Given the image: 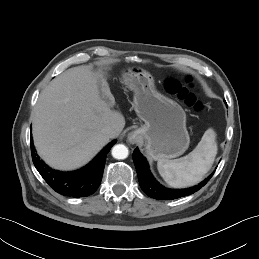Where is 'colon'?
Segmentation results:
<instances>
[{"label":"colon","instance_id":"obj_1","mask_svg":"<svg viewBox=\"0 0 259 259\" xmlns=\"http://www.w3.org/2000/svg\"><path fill=\"white\" fill-rule=\"evenodd\" d=\"M165 87L168 92L176 95L185 105L192 108L195 112L204 110L205 105L199 99L196 90L193 88L188 78L185 83H182L175 78H167L165 80Z\"/></svg>","mask_w":259,"mask_h":259}]
</instances>
